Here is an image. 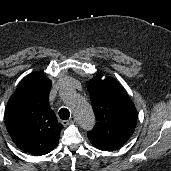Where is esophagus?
I'll return each instance as SVG.
<instances>
[{
	"mask_svg": "<svg viewBox=\"0 0 171 171\" xmlns=\"http://www.w3.org/2000/svg\"><path fill=\"white\" fill-rule=\"evenodd\" d=\"M76 122V118L74 116L70 117L69 120L63 121V125H69V124H73Z\"/></svg>",
	"mask_w": 171,
	"mask_h": 171,
	"instance_id": "esophagus-1",
	"label": "esophagus"
}]
</instances>
